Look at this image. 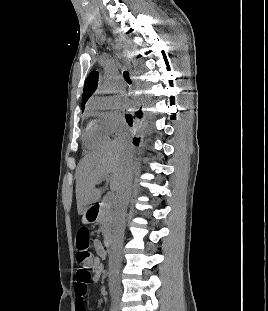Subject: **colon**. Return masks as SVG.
<instances>
[{
  "mask_svg": "<svg viewBox=\"0 0 268 311\" xmlns=\"http://www.w3.org/2000/svg\"><path fill=\"white\" fill-rule=\"evenodd\" d=\"M90 247V235L87 228L79 230L76 237V261L78 268L76 271V278L78 284V290L81 294H86L87 283L91 279V273L89 265L93 259L89 250Z\"/></svg>",
  "mask_w": 268,
  "mask_h": 311,
  "instance_id": "colon-1",
  "label": "colon"
}]
</instances>
